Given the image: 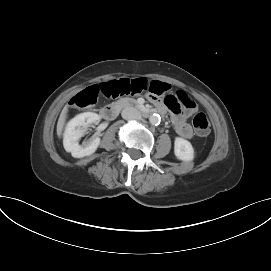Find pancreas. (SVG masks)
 <instances>
[{
  "label": "pancreas",
  "mask_w": 271,
  "mask_h": 271,
  "mask_svg": "<svg viewBox=\"0 0 271 271\" xmlns=\"http://www.w3.org/2000/svg\"><path fill=\"white\" fill-rule=\"evenodd\" d=\"M121 102L123 103V105H128V104H130V102H133V103H134L135 101H133V100L122 99Z\"/></svg>",
  "instance_id": "obj_1"
}]
</instances>
